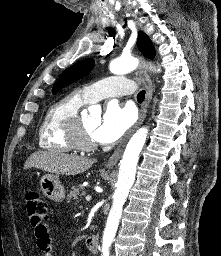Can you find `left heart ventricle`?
Instances as JSON below:
<instances>
[{
  "instance_id": "left-heart-ventricle-1",
  "label": "left heart ventricle",
  "mask_w": 221,
  "mask_h": 256,
  "mask_svg": "<svg viewBox=\"0 0 221 256\" xmlns=\"http://www.w3.org/2000/svg\"><path fill=\"white\" fill-rule=\"evenodd\" d=\"M82 123H83L85 133L88 135V137L93 139L92 133L96 128V126L98 125L99 119L95 117H87L82 119Z\"/></svg>"
}]
</instances>
